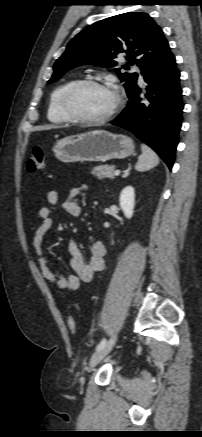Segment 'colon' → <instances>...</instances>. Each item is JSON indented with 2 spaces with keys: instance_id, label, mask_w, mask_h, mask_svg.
Returning <instances> with one entry per match:
<instances>
[{
  "instance_id": "1",
  "label": "colon",
  "mask_w": 202,
  "mask_h": 437,
  "mask_svg": "<svg viewBox=\"0 0 202 437\" xmlns=\"http://www.w3.org/2000/svg\"><path fill=\"white\" fill-rule=\"evenodd\" d=\"M44 164H45V159H44V152L42 148L38 146L34 147L31 151L28 160V170L30 172L42 170L44 168ZM67 325L72 333L76 332L77 323L73 316H69L67 320Z\"/></svg>"
}]
</instances>
